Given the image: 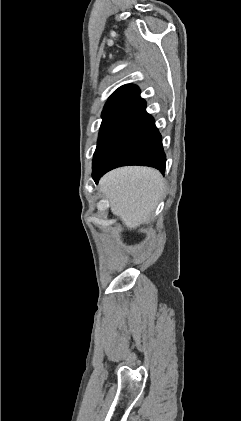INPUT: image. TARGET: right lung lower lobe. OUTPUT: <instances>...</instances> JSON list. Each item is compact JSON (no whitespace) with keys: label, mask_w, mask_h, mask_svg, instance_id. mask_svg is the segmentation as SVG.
<instances>
[{"label":"right lung lower lobe","mask_w":241,"mask_h":421,"mask_svg":"<svg viewBox=\"0 0 241 421\" xmlns=\"http://www.w3.org/2000/svg\"><path fill=\"white\" fill-rule=\"evenodd\" d=\"M145 108L142 98L133 104L118 134L93 166L92 177L96 183L109 170L126 165L155 167L164 173L166 156L162 137Z\"/></svg>","instance_id":"98d812e1"}]
</instances>
